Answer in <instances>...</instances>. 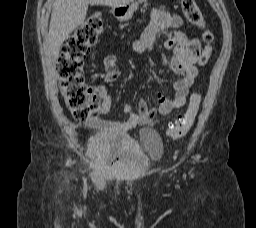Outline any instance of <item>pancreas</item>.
Masks as SVG:
<instances>
[{
	"instance_id": "1",
	"label": "pancreas",
	"mask_w": 256,
	"mask_h": 228,
	"mask_svg": "<svg viewBox=\"0 0 256 228\" xmlns=\"http://www.w3.org/2000/svg\"><path fill=\"white\" fill-rule=\"evenodd\" d=\"M142 2H146V0H138L135 3H132V5H131L132 10H136L138 8L139 3H142Z\"/></svg>"
}]
</instances>
